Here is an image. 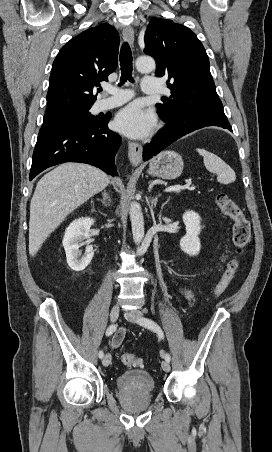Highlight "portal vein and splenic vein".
<instances>
[{
	"label": "portal vein and splenic vein",
	"instance_id": "portal-vein-and-splenic-vein-1",
	"mask_svg": "<svg viewBox=\"0 0 272 452\" xmlns=\"http://www.w3.org/2000/svg\"><path fill=\"white\" fill-rule=\"evenodd\" d=\"M191 184H192V182L189 181L185 185L170 186L165 189V192L180 191L181 189H188V188H190Z\"/></svg>",
	"mask_w": 272,
	"mask_h": 452
}]
</instances>
